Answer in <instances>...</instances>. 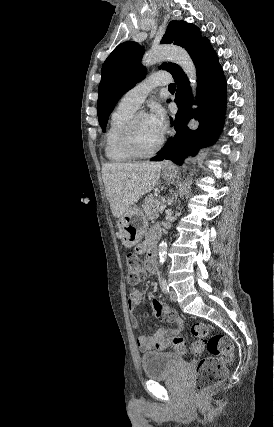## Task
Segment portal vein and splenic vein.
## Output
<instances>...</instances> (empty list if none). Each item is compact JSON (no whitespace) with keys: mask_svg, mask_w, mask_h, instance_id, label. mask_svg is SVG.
I'll list each match as a JSON object with an SVG mask.
<instances>
[{"mask_svg":"<svg viewBox=\"0 0 274 427\" xmlns=\"http://www.w3.org/2000/svg\"><path fill=\"white\" fill-rule=\"evenodd\" d=\"M166 206H160L158 212H163V210H165Z\"/></svg>","mask_w":274,"mask_h":427,"instance_id":"18ae733b","label":"portal vein and splenic vein"}]
</instances>
